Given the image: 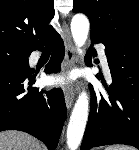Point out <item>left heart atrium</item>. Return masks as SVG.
Returning a JSON list of instances; mask_svg holds the SVG:
<instances>
[{
    "mask_svg": "<svg viewBox=\"0 0 139 150\" xmlns=\"http://www.w3.org/2000/svg\"><path fill=\"white\" fill-rule=\"evenodd\" d=\"M51 82L61 84V83H63V80L60 79V78H54V79L51 80Z\"/></svg>",
    "mask_w": 139,
    "mask_h": 150,
    "instance_id": "39dd6f15",
    "label": "left heart atrium"
}]
</instances>
